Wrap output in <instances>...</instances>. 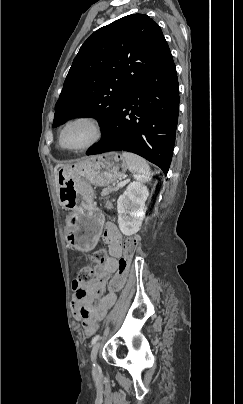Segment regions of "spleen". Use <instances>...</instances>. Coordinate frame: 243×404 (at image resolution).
I'll list each match as a JSON object with an SVG mask.
<instances>
[{
	"label": "spleen",
	"mask_w": 243,
	"mask_h": 404,
	"mask_svg": "<svg viewBox=\"0 0 243 404\" xmlns=\"http://www.w3.org/2000/svg\"><path fill=\"white\" fill-rule=\"evenodd\" d=\"M122 156L126 160L128 170L132 172L138 182L146 184L151 180V172L146 160L136 154H129V152H123Z\"/></svg>",
	"instance_id": "1"
}]
</instances>
